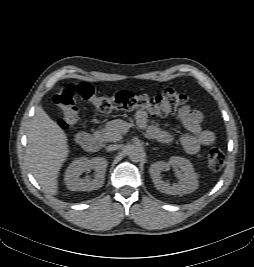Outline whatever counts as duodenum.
<instances>
[{
	"mask_svg": "<svg viewBox=\"0 0 254 267\" xmlns=\"http://www.w3.org/2000/svg\"><path fill=\"white\" fill-rule=\"evenodd\" d=\"M76 142L78 145L89 152H97L101 147L99 137L90 133H78L76 135Z\"/></svg>",
	"mask_w": 254,
	"mask_h": 267,
	"instance_id": "duodenum-1",
	"label": "duodenum"
}]
</instances>
